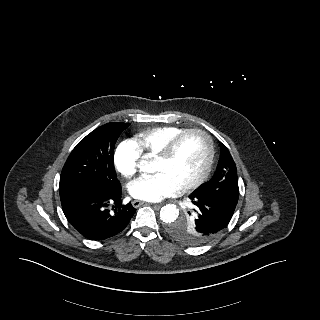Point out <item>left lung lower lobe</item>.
Listing matches in <instances>:
<instances>
[{
    "label": "left lung lower lobe",
    "instance_id": "left-lung-lower-lobe-1",
    "mask_svg": "<svg viewBox=\"0 0 320 320\" xmlns=\"http://www.w3.org/2000/svg\"><path fill=\"white\" fill-rule=\"evenodd\" d=\"M199 209L200 231L206 241L216 238L231 220L236 205L194 191L189 196Z\"/></svg>",
    "mask_w": 320,
    "mask_h": 320
}]
</instances>
